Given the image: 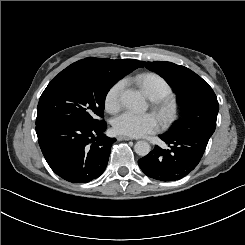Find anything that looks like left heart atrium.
<instances>
[{
    "mask_svg": "<svg viewBox=\"0 0 245 245\" xmlns=\"http://www.w3.org/2000/svg\"><path fill=\"white\" fill-rule=\"evenodd\" d=\"M159 127V120L150 113L139 114L125 111L114 119L115 131L129 137H141L156 132Z\"/></svg>",
    "mask_w": 245,
    "mask_h": 245,
    "instance_id": "obj_1",
    "label": "left heart atrium"
}]
</instances>
